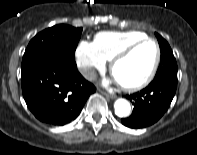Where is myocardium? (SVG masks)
I'll use <instances>...</instances> for the list:
<instances>
[{"label":"myocardium","instance_id":"myocardium-1","mask_svg":"<svg viewBox=\"0 0 197 155\" xmlns=\"http://www.w3.org/2000/svg\"><path fill=\"white\" fill-rule=\"evenodd\" d=\"M153 43L155 45L156 48V56H155V60L153 62V65L150 69V71L148 72L147 76L140 82L135 83V84H122L120 82H118V85L127 92H136L139 91L143 88H145L146 86H148L150 84V82L153 80V78L156 75V72L158 70L159 64H160V60H161V49L159 46V43L151 38V37H145L142 38L140 40H137L133 43H130L128 45H126L125 47H123L122 49H120L111 59L110 61V72L113 75V71H114V67L115 65L122 59H124L125 57H127L134 49H136L138 46L144 44V43Z\"/></svg>","mask_w":197,"mask_h":155}]
</instances>
